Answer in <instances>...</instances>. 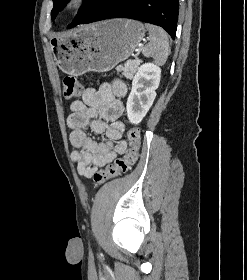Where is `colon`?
<instances>
[{
    "label": "colon",
    "instance_id": "obj_1",
    "mask_svg": "<svg viewBox=\"0 0 247 280\" xmlns=\"http://www.w3.org/2000/svg\"><path fill=\"white\" fill-rule=\"evenodd\" d=\"M83 91V84L74 76L63 79V95L67 99L78 97ZM128 148L123 157L117 158L105 168L98 170L93 175L96 186H101L110 179L126 173L137 161L141 146V134L137 127L128 131Z\"/></svg>",
    "mask_w": 247,
    "mask_h": 280
}]
</instances>
